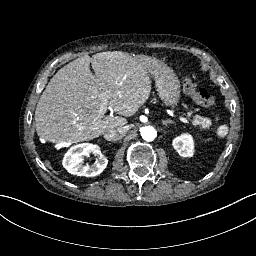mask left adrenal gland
<instances>
[{"label":"left adrenal gland","instance_id":"obj_1","mask_svg":"<svg viewBox=\"0 0 256 256\" xmlns=\"http://www.w3.org/2000/svg\"><path fill=\"white\" fill-rule=\"evenodd\" d=\"M165 124H166V125H170V124H174V123H173L172 121H168V120H167V121H165Z\"/></svg>","mask_w":256,"mask_h":256}]
</instances>
